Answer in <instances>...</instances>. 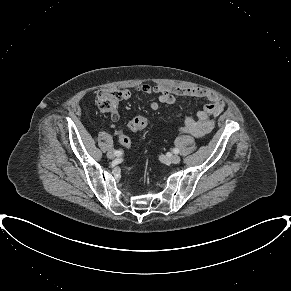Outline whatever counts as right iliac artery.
I'll list each match as a JSON object with an SVG mask.
<instances>
[{
  "mask_svg": "<svg viewBox=\"0 0 291 291\" xmlns=\"http://www.w3.org/2000/svg\"><path fill=\"white\" fill-rule=\"evenodd\" d=\"M114 153L116 156H121L123 154V151L122 150H115Z\"/></svg>",
  "mask_w": 291,
  "mask_h": 291,
  "instance_id": "1",
  "label": "right iliac artery"
}]
</instances>
